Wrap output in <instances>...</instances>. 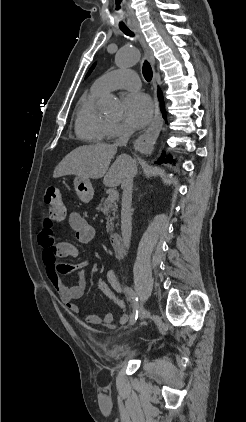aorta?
<instances>
[{
	"instance_id": "762f6f07",
	"label": "aorta",
	"mask_w": 246,
	"mask_h": 422,
	"mask_svg": "<svg viewBox=\"0 0 246 422\" xmlns=\"http://www.w3.org/2000/svg\"><path fill=\"white\" fill-rule=\"evenodd\" d=\"M140 54L136 47H123L115 57L116 65L119 67L131 66L139 61ZM104 111L107 114L116 115L119 113V106L116 102L108 100L104 106Z\"/></svg>"
}]
</instances>
